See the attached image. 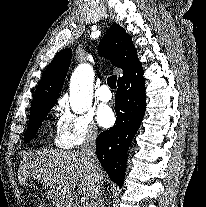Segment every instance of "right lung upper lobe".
Masks as SVG:
<instances>
[{
  "label": "right lung upper lobe",
  "instance_id": "right-lung-upper-lobe-1",
  "mask_svg": "<svg viewBox=\"0 0 206 207\" xmlns=\"http://www.w3.org/2000/svg\"><path fill=\"white\" fill-rule=\"evenodd\" d=\"M98 52L102 56H108L114 66L121 68L123 76L140 63L131 37L118 24H113L109 28L100 42ZM71 56L72 50L70 48L63 49L48 65L34 94L30 111L42 105H54L63 87Z\"/></svg>",
  "mask_w": 206,
  "mask_h": 207
}]
</instances>
